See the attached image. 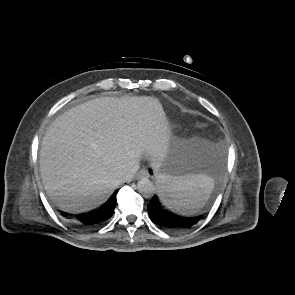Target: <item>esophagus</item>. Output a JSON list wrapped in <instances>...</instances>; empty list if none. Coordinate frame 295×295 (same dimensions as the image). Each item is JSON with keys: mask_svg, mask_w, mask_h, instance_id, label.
I'll list each match as a JSON object with an SVG mask.
<instances>
[{"mask_svg": "<svg viewBox=\"0 0 295 295\" xmlns=\"http://www.w3.org/2000/svg\"><path fill=\"white\" fill-rule=\"evenodd\" d=\"M149 177V172L146 169H141L138 173H137V178H147Z\"/></svg>", "mask_w": 295, "mask_h": 295, "instance_id": "esophagus-1", "label": "esophagus"}]
</instances>
